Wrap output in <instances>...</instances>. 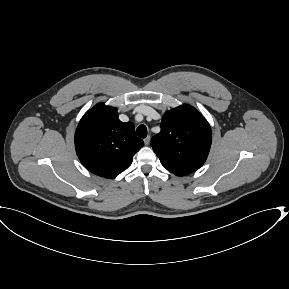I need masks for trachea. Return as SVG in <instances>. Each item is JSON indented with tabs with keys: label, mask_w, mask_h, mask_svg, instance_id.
Segmentation results:
<instances>
[{
	"label": "trachea",
	"mask_w": 289,
	"mask_h": 289,
	"mask_svg": "<svg viewBox=\"0 0 289 289\" xmlns=\"http://www.w3.org/2000/svg\"><path fill=\"white\" fill-rule=\"evenodd\" d=\"M136 132H137V135L141 138H146L147 136V128L145 125H139L137 127Z\"/></svg>",
	"instance_id": "1"
}]
</instances>
